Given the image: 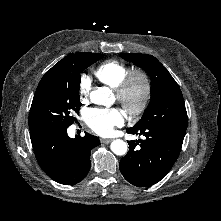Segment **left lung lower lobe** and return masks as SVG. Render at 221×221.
Instances as JSON below:
<instances>
[{"label": "left lung lower lobe", "mask_w": 221, "mask_h": 221, "mask_svg": "<svg viewBox=\"0 0 221 221\" xmlns=\"http://www.w3.org/2000/svg\"><path fill=\"white\" fill-rule=\"evenodd\" d=\"M187 113L180 108L173 125L127 129L144 135V140L128 141L129 151L120 160V171L132 185L147 187L159 182L170 171L181 151L187 129ZM139 144V147L136 145Z\"/></svg>", "instance_id": "left-lung-lower-lobe-1"}]
</instances>
